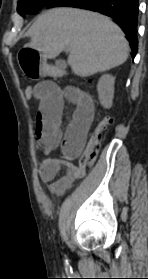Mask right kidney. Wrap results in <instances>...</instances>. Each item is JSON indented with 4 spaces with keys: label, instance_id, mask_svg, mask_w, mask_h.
Listing matches in <instances>:
<instances>
[{
    "label": "right kidney",
    "instance_id": "obj_1",
    "mask_svg": "<svg viewBox=\"0 0 148 279\" xmlns=\"http://www.w3.org/2000/svg\"><path fill=\"white\" fill-rule=\"evenodd\" d=\"M115 77L109 74L102 75L97 84V91L101 105L110 109L114 98Z\"/></svg>",
    "mask_w": 148,
    "mask_h": 279
}]
</instances>
